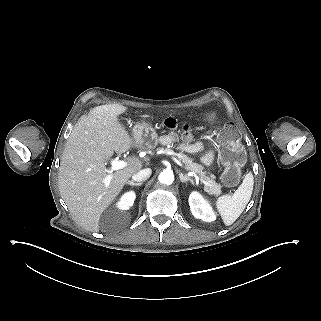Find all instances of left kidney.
Instances as JSON below:
<instances>
[{"mask_svg":"<svg viewBox=\"0 0 321 321\" xmlns=\"http://www.w3.org/2000/svg\"><path fill=\"white\" fill-rule=\"evenodd\" d=\"M189 206L191 213L197 219H201L205 222H212L216 220V214L212 207L203 196L197 192H191L189 196Z\"/></svg>","mask_w":321,"mask_h":321,"instance_id":"5707ae66","label":"left kidney"}]
</instances>
